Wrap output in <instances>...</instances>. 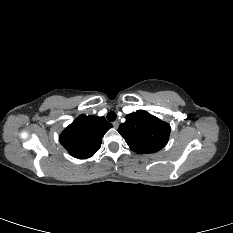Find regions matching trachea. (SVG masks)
<instances>
[{"instance_id":"1","label":"trachea","mask_w":233,"mask_h":233,"mask_svg":"<svg viewBox=\"0 0 233 233\" xmlns=\"http://www.w3.org/2000/svg\"><path fill=\"white\" fill-rule=\"evenodd\" d=\"M116 119V113L115 112H109L107 114V120L110 122H113Z\"/></svg>"}]
</instances>
